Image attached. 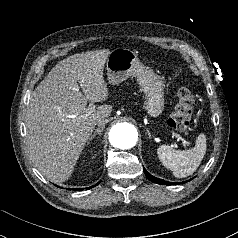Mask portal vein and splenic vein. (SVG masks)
<instances>
[{
	"label": "portal vein and splenic vein",
	"instance_id": "portal-vein-and-splenic-vein-1",
	"mask_svg": "<svg viewBox=\"0 0 238 238\" xmlns=\"http://www.w3.org/2000/svg\"><path fill=\"white\" fill-rule=\"evenodd\" d=\"M94 110H95V106L93 104H89V106L87 108L88 114H91ZM68 117L69 118H75L76 116L75 115H69ZM177 140H182L184 145H187V146L189 145V143L186 140L182 139L179 136H177ZM172 146L177 147L176 144H174Z\"/></svg>",
	"mask_w": 238,
	"mask_h": 238
}]
</instances>
